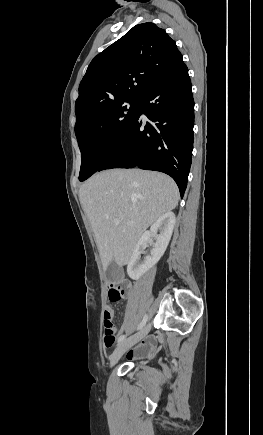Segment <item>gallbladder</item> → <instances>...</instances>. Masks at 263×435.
I'll return each instance as SVG.
<instances>
[{
	"label": "gallbladder",
	"instance_id": "gallbladder-1",
	"mask_svg": "<svg viewBox=\"0 0 263 435\" xmlns=\"http://www.w3.org/2000/svg\"><path fill=\"white\" fill-rule=\"evenodd\" d=\"M105 275L107 280L113 283L120 282L124 278L123 269L115 261L108 265Z\"/></svg>",
	"mask_w": 263,
	"mask_h": 435
}]
</instances>
